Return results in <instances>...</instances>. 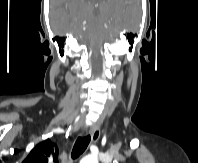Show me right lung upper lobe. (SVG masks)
<instances>
[{"mask_svg":"<svg viewBox=\"0 0 198 163\" xmlns=\"http://www.w3.org/2000/svg\"><path fill=\"white\" fill-rule=\"evenodd\" d=\"M22 163H58L57 145L50 139L42 141L31 150Z\"/></svg>","mask_w":198,"mask_h":163,"instance_id":"right-lung-upper-lobe-1","label":"right lung upper lobe"}]
</instances>
